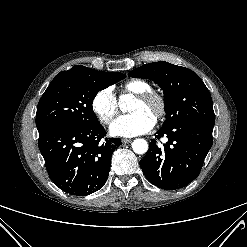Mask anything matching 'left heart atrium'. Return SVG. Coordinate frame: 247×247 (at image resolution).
I'll return each mask as SVG.
<instances>
[{
    "instance_id": "1",
    "label": "left heart atrium",
    "mask_w": 247,
    "mask_h": 247,
    "mask_svg": "<svg viewBox=\"0 0 247 247\" xmlns=\"http://www.w3.org/2000/svg\"><path fill=\"white\" fill-rule=\"evenodd\" d=\"M155 125V117L144 111H136L117 118L110 127L115 136L134 137L150 131Z\"/></svg>"
}]
</instances>
